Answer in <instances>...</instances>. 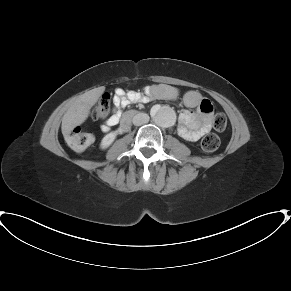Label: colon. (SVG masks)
I'll return each instance as SVG.
<instances>
[{"instance_id": "obj_1", "label": "colon", "mask_w": 291, "mask_h": 291, "mask_svg": "<svg viewBox=\"0 0 291 291\" xmlns=\"http://www.w3.org/2000/svg\"><path fill=\"white\" fill-rule=\"evenodd\" d=\"M111 111V94L106 92L92 110V118L105 120ZM227 119L224 114L218 113L213 120V126L217 130L225 129ZM93 140V134L85 129L78 128L72 132L68 139L70 147L76 151L84 150ZM220 146V139L214 134L205 136L201 141V147L205 152H213Z\"/></svg>"}]
</instances>
